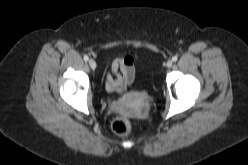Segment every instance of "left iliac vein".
Returning <instances> with one entry per match:
<instances>
[{
    "instance_id": "4c4485c4",
    "label": "left iliac vein",
    "mask_w": 248,
    "mask_h": 165,
    "mask_svg": "<svg viewBox=\"0 0 248 165\" xmlns=\"http://www.w3.org/2000/svg\"><path fill=\"white\" fill-rule=\"evenodd\" d=\"M172 64H173L172 60H168V61L166 62V67H167V68H170V67L172 66Z\"/></svg>"
}]
</instances>
